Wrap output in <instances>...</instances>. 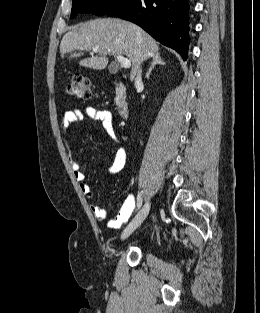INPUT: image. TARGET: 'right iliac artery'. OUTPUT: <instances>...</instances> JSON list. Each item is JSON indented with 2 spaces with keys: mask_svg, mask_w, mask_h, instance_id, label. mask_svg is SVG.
Here are the masks:
<instances>
[{
  "mask_svg": "<svg viewBox=\"0 0 260 313\" xmlns=\"http://www.w3.org/2000/svg\"><path fill=\"white\" fill-rule=\"evenodd\" d=\"M142 193H143V192H140L139 195H138L137 210H138V209L141 207V205H142V198H141Z\"/></svg>",
  "mask_w": 260,
  "mask_h": 313,
  "instance_id": "right-iliac-artery-1",
  "label": "right iliac artery"
}]
</instances>
